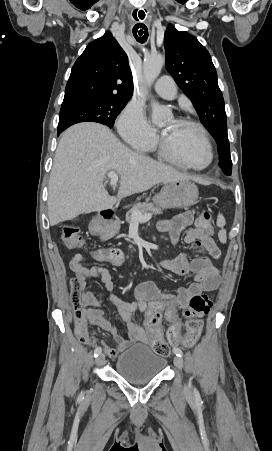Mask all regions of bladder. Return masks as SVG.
I'll return each instance as SVG.
<instances>
[{
  "label": "bladder",
  "mask_w": 272,
  "mask_h": 451,
  "mask_svg": "<svg viewBox=\"0 0 272 451\" xmlns=\"http://www.w3.org/2000/svg\"><path fill=\"white\" fill-rule=\"evenodd\" d=\"M167 359L145 345L135 344L120 354L115 363L117 376L132 384H148L161 374Z\"/></svg>",
  "instance_id": "bladder-1"
}]
</instances>
